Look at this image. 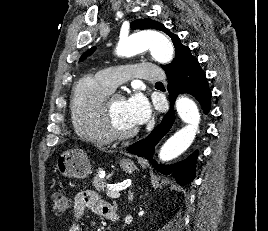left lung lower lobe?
I'll return each mask as SVG.
<instances>
[{
    "instance_id": "left-lung-lower-lobe-1",
    "label": "left lung lower lobe",
    "mask_w": 268,
    "mask_h": 231,
    "mask_svg": "<svg viewBox=\"0 0 268 231\" xmlns=\"http://www.w3.org/2000/svg\"><path fill=\"white\" fill-rule=\"evenodd\" d=\"M166 75L168 77V91L170 93V110L148 137L129 146L127 151L148 159L157 167L159 172L167 175L172 174L180 185L184 186L192 182L195 176L198 151H195L187 159L168 166L157 165L156 161L152 159L154 147L167 134L175 121L173 105L177 95L180 93L191 94L198 100L204 113H208L210 109L211 91L208 87L206 75L195 57L190 58L183 67L166 73Z\"/></svg>"
}]
</instances>
